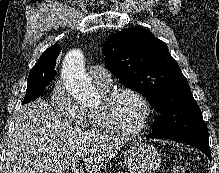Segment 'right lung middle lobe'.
Wrapping results in <instances>:
<instances>
[{
    "label": "right lung middle lobe",
    "instance_id": "dd1d6c3e",
    "mask_svg": "<svg viewBox=\"0 0 219 173\" xmlns=\"http://www.w3.org/2000/svg\"><path fill=\"white\" fill-rule=\"evenodd\" d=\"M54 78L55 75L44 74L42 70L31 69L28 76V86L23 104L37 99Z\"/></svg>",
    "mask_w": 219,
    "mask_h": 173
}]
</instances>
